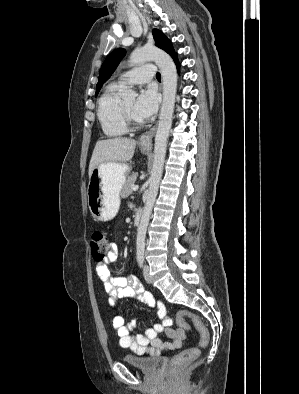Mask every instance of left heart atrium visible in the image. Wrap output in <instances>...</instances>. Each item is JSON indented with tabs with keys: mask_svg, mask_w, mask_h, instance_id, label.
Instances as JSON below:
<instances>
[{
	"mask_svg": "<svg viewBox=\"0 0 299 394\" xmlns=\"http://www.w3.org/2000/svg\"><path fill=\"white\" fill-rule=\"evenodd\" d=\"M158 108V96L154 89H144L138 95L135 105L134 114L139 120L151 118Z\"/></svg>",
	"mask_w": 299,
	"mask_h": 394,
	"instance_id": "left-heart-atrium-1",
	"label": "left heart atrium"
}]
</instances>
